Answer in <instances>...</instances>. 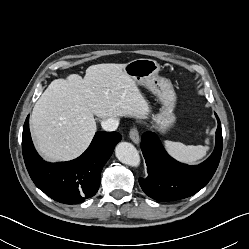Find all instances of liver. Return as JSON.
<instances>
[{"label": "liver", "mask_w": 249, "mask_h": 249, "mask_svg": "<svg viewBox=\"0 0 249 249\" xmlns=\"http://www.w3.org/2000/svg\"><path fill=\"white\" fill-rule=\"evenodd\" d=\"M125 64H97L85 77L71 74L50 83L36 102L30 120L34 143L47 160L80 156L95 132L94 115L102 118H145L150 106Z\"/></svg>", "instance_id": "liver-1"}]
</instances>
